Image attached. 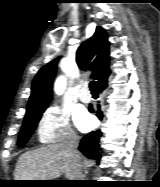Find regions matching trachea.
<instances>
[{
  "mask_svg": "<svg viewBox=\"0 0 160 187\" xmlns=\"http://www.w3.org/2000/svg\"><path fill=\"white\" fill-rule=\"evenodd\" d=\"M89 87H90V91H91L92 93H97L96 81H91Z\"/></svg>",
  "mask_w": 160,
  "mask_h": 187,
  "instance_id": "3493384b",
  "label": "trachea"
}]
</instances>
